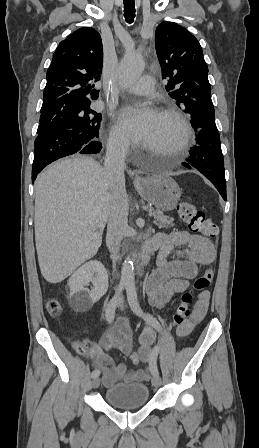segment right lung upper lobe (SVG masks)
<instances>
[{"label":"right lung upper lobe","instance_id":"cb5924a9","mask_svg":"<svg viewBox=\"0 0 259 448\" xmlns=\"http://www.w3.org/2000/svg\"><path fill=\"white\" fill-rule=\"evenodd\" d=\"M103 49L100 34L80 28L61 41L47 71L41 114L89 106L98 98Z\"/></svg>","mask_w":259,"mask_h":448}]
</instances>
